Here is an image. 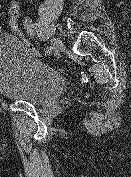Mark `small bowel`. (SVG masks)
<instances>
[{
    "label": "small bowel",
    "instance_id": "small-bowel-1",
    "mask_svg": "<svg viewBox=\"0 0 131 177\" xmlns=\"http://www.w3.org/2000/svg\"><path fill=\"white\" fill-rule=\"evenodd\" d=\"M3 31H5V29L2 26H0V33H2Z\"/></svg>",
    "mask_w": 131,
    "mask_h": 177
}]
</instances>
